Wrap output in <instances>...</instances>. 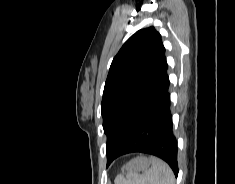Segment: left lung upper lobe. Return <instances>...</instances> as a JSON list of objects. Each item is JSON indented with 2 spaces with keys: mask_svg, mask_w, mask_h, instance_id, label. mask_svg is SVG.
I'll return each mask as SVG.
<instances>
[{
  "mask_svg": "<svg viewBox=\"0 0 235 184\" xmlns=\"http://www.w3.org/2000/svg\"><path fill=\"white\" fill-rule=\"evenodd\" d=\"M165 57L154 27L137 31L114 57L105 82L101 113L107 136V164L129 138L136 118L150 96Z\"/></svg>",
  "mask_w": 235,
  "mask_h": 184,
  "instance_id": "left-lung-upper-lobe-1",
  "label": "left lung upper lobe"
}]
</instances>
